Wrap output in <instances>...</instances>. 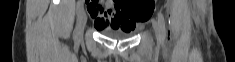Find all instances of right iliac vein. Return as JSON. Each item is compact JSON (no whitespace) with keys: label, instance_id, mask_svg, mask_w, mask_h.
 <instances>
[{"label":"right iliac vein","instance_id":"right-iliac-vein-1","mask_svg":"<svg viewBox=\"0 0 235 62\" xmlns=\"http://www.w3.org/2000/svg\"><path fill=\"white\" fill-rule=\"evenodd\" d=\"M86 22H87V16H86V13L85 12H82L81 16H80V19H79V24H78V28H77V31H76V34H75V39H80L82 34H83V31H84V28H85V25H86Z\"/></svg>","mask_w":235,"mask_h":62}]
</instances>
